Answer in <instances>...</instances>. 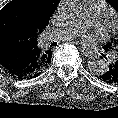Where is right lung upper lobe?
Instances as JSON below:
<instances>
[{
  "instance_id": "1",
  "label": "right lung upper lobe",
  "mask_w": 118,
  "mask_h": 118,
  "mask_svg": "<svg viewBox=\"0 0 118 118\" xmlns=\"http://www.w3.org/2000/svg\"><path fill=\"white\" fill-rule=\"evenodd\" d=\"M32 2V14L37 25V31L27 37H18L9 26L0 20V45L6 42H14L36 52L35 70L42 72L51 63V49H43L39 46V37L48 26L49 19L54 13L60 0H30Z\"/></svg>"
}]
</instances>
